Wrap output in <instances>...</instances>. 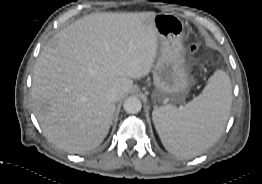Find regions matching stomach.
I'll return each instance as SVG.
<instances>
[{"instance_id": "stomach-1", "label": "stomach", "mask_w": 262, "mask_h": 184, "mask_svg": "<svg viewBox=\"0 0 262 184\" xmlns=\"http://www.w3.org/2000/svg\"><path fill=\"white\" fill-rule=\"evenodd\" d=\"M153 22L159 42L153 69L155 99L159 102L182 101L192 84L184 66V23L170 13L156 14Z\"/></svg>"}]
</instances>
